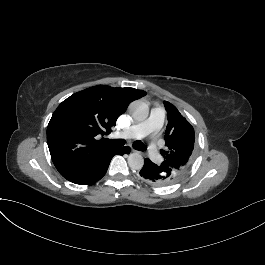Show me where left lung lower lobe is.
<instances>
[{
	"mask_svg": "<svg viewBox=\"0 0 265 265\" xmlns=\"http://www.w3.org/2000/svg\"><path fill=\"white\" fill-rule=\"evenodd\" d=\"M141 178L154 186H165L177 181L172 168L165 163L155 164L149 158L145 159L144 166L140 171Z\"/></svg>",
	"mask_w": 265,
	"mask_h": 265,
	"instance_id": "0a47b994",
	"label": "left lung lower lobe"
}]
</instances>
